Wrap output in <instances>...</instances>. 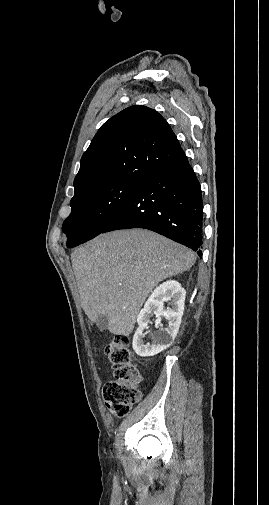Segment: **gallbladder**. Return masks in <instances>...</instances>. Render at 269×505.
I'll return each instance as SVG.
<instances>
[{
    "mask_svg": "<svg viewBox=\"0 0 269 505\" xmlns=\"http://www.w3.org/2000/svg\"><path fill=\"white\" fill-rule=\"evenodd\" d=\"M97 326L101 330H106L107 329V318H106V316H104V315L99 316L98 321H97Z\"/></svg>",
    "mask_w": 269,
    "mask_h": 505,
    "instance_id": "gallbladder-1",
    "label": "gallbladder"
}]
</instances>
